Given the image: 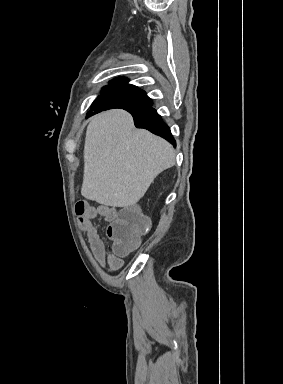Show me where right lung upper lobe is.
I'll return each instance as SVG.
<instances>
[{"mask_svg":"<svg viewBox=\"0 0 283 384\" xmlns=\"http://www.w3.org/2000/svg\"><path fill=\"white\" fill-rule=\"evenodd\" d=\"M111 87H125V88H134V89H139L135 87L134 85L128 84V79L126 78H117L112 80L111 82Z\"/></svg>","mask_w":283,"mask_h":384,"instance_id":"cb5924a9","label":"right lung upper lobe"}]
</instances>
